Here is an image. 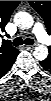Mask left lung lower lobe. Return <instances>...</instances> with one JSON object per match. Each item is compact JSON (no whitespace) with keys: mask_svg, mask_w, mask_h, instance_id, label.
I'll return each mask as SVG.
<instances>
[{"mask_svg":"<svg viewBox=\"0 0 51 101\" xmlns=\"http://www.w3.org/2000/svg\"><path fill=\"white\" fill-rule=\"evenodd\" d=\"M40 64L44 69H46V70L49 69L48 58L44 61H40Z\"/></svg>","mask_w":51,"mask_h":101,"instance_id":"1","label":"left lung lower lobe"}]
</instances>
